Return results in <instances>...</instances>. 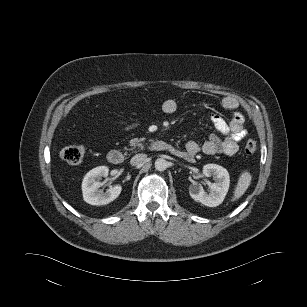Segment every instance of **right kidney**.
<instances>
[{
    "instance_id": "obj_1",
    "label": "right kidney",
    "mask_w": 307,
    "mask_h": 307,
    "mask_svg": "<svg viewBox=\"0 0 307 307\" xmlns=\"http://www.w3.org/2000/svg\"><path fill=\"white\" fill-rule=\"evenodd\" d=\"M109 168L99 166L90 170L82 182V193L85 202L91 205H105L115 200L121 193L122 187L115 185L103 192L99 189L102 186L100 182L102 177H107Z\"/></svg>"
}]
</instances>
